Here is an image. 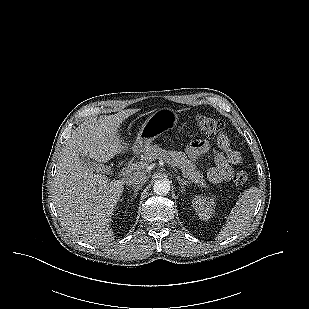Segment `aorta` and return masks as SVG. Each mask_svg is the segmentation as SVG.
I'll use <instances>...</instances> for the list:
<instances>
[{"mask_svg":"<svg viewBox=\"0 0 309 309\" xmlns=\"http://www.w3.org/2000/svg\"><path fill=\"white\" fill-rule=\"evenodd\" d=\"M153 190L157 195H166L170 191V184L166 180H157L154 183Z\"/></svg>","mask_w":309,"mask_h":309,"instance_id":"obj_1","label":"aorta"}]
</instances>
